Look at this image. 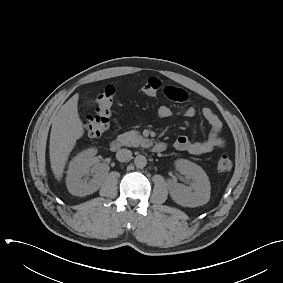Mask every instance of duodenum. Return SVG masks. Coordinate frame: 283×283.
<instances>
[{"mask_svg": "<svg viewBox=\"0 0 283 283\" xmlns=\"http://www.w3.org/2000/svg\"><path fill=\"white\" fill-rule=\"evenodd\" d=\"M109 147L111 151L115 152L122 147V144L120 140L114 139L110 142ZM165 149H166V145L163 142H156L152 145V150L156 153L163 152Z\"/></svg>", "mask_w": 283, "mask_h": 283, "instance_id": "duodenum-1", "label": "duodenum"}]
</instances>
